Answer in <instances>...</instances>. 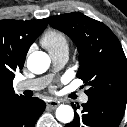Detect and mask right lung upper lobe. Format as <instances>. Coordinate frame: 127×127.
<instances>
[{
	"label": "right lung upper lobe",
	"mask_w": 127,
	"mask_h": 127,
	"mask_svg": "<svg viewBox=\"0 0 127 127\" xmlns=\"http://www.w3.org/2000/svg\"><path fill=\"white\" fill-rule=\"evenodd\" d=\"M47 20H0V110L20 97L13 90L15 72L22 69L29 47L46 28Z\"/></svg>",
	"instance_id": "obj_1"
}]
</instances>
